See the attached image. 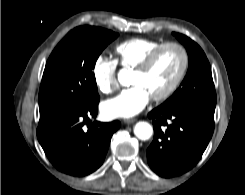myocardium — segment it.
I'll use <instances>...</instances> for the list:
<instances>
[{
  "label": "myocardium",
  "mask_w": 245,
  "mask_h": 195,
  "mask_svg": "<svg viewBox=\"0 0 245 195\" xmlns=\"http://www.w3.org/2000/svg\"><path fill=\"white\" fill-rule=\"evenodd\" d=\"M174 47L177 48L182 57L181 67L180 70L175 78V80L172 82V84L164 90L162 93L152 96L151 99L154 101H163L169 98L180 86L181 82L183 81L187 67H188V53L185 47L177 42H166L161 44L160 46L153 49L135 68L134 72L143 73L149 69V67L152 65L156 57L162 52L164 49Z\"/></svg>",
  "instance_id": "f54148a6"
}]
</instances>
